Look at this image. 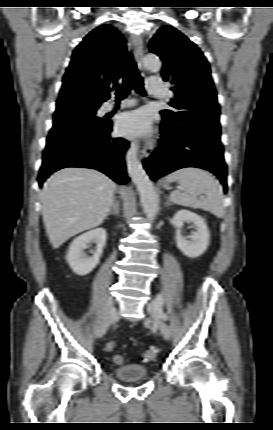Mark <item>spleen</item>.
<instances>
[{"label": "spleen", "instance_id": "1", "mask_svg": "<svg viewBox=\"0 0 273 430\" xmlns=\"http://www.w3.org/2000/svg\"><path fill=\"white\" fill-rule=\"evenodd\" d=\"M166 180L177 181L181 187V190L170 193L169 200L172 203L201 208L218 218L224 216L222 189L218 181L206 171L196 167H184L169 174ZM200 194L206 196L199 199Z\"/></svg>", "mask_w": 273, "mask_h": 430}]
</instances>
